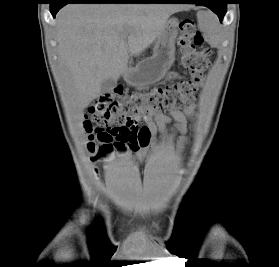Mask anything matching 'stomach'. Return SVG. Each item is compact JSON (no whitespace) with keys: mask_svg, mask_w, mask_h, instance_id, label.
Here are the masks:
<instances>
[{"mask_svg":"<svg viewBox=\"0 0 279 267\" xmlns=\"http://www.w3.org/2000/svg\"><path fill=\"white\" fill-rule=\"evenodd\" d=\"M178 30V20L168 19L157 39L152 57L142 60L134 67H128L123 72L122 76L127 84L145 87L164 78L175 60V39Z\"/></svg>","mask_w":279,"mask_h":267,"instance_id":"0dacf381","label":"stomach"}]
</instances>
